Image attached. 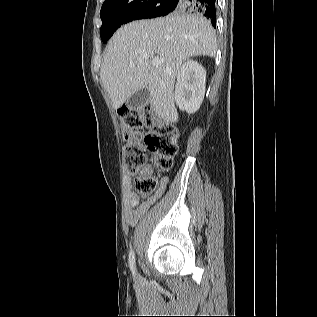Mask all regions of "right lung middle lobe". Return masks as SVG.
Returning <instances> with one entry per match:
<instances>
[{
	"label": "right lung middle lobe",
	"instance_id": "right-lung-middle-lobe-1",
	"mask_svg": "<svg viewBox=\"0 0 317 317\" xmlns=\"http://www.w3.org/2000/svg\"><path fill=\"white\" fill-rule=\"evenodd\" d=\"M173 0H105L100 11L103 43L123 24L137 19L165 16L183 11L181 6L171 5Z\"/></svg>",
	"mask_w": 317,
	"mask_h": 317
}]
</instances>
